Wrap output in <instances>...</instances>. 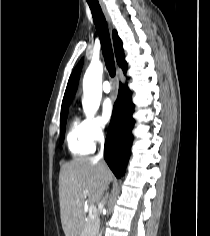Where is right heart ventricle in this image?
Returning <instances> with one entry per match:
<instances>
[{"mask_svg":"<svg viewBox=\"0 0 210 236\" xmlns=\"http://www.w3.org/2000/svg\"><path fill=\"white\" fill-rule=\"evenodd\" d=\"M66 142L69 152L77 157L84 156L94 151V143L88 137L86 120L74 114L68 125Z\"/></svg>","mask_w":210,"mask_h":236,"instance_id":"1","label":"right heart ventricle"}]
</instances>
